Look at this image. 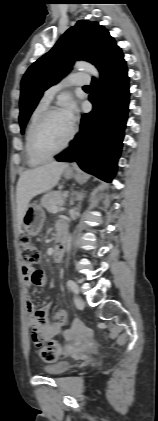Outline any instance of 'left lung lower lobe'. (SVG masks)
<instances>
[{
  "label": "left lung lower lobe",
  "mask_w": 158,
  "mask_h": 421,
  "mask_svg": "<svg viewBox=\"0 0 158 421\" xmlns=\"http://www.w3.org/2000/svg\"><path fill=\"white\" fill-rule=\"evenodd\" d=\"M102 91L93 78L89 100L94 105L82 115L79 133L70 147L55 156L57 161L77 162L87 173L111 182L121 152L129 104V78L118 47L99 68Z\"/></svg>",
  "instance_id": "1"
}]
</instances>
